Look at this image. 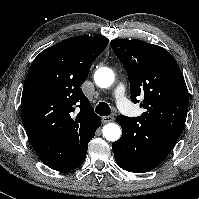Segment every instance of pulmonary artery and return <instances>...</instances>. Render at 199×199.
<instances>
[{
    "mask_svg": "<svg viewBox=\"0 0 199 199\" xmlns=\"http://www.w3.org/2000/svg\"><path fill=\"white\" fill-rule=\"evenodd\" d=\"M116 104L120 110H124L127 104V93L125 85L120 82L117 84L113 94Z\"/></svg>",
    "mask_w": 199,
    "mask_h": 199,
    "instance_id": "1",
    "label": "pulmonary artery"
}]
</instances>
